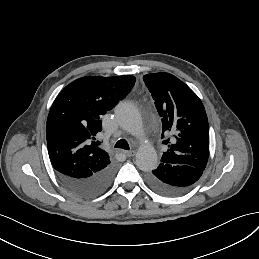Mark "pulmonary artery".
<instances>
[{
	"instance_id": "1",
	"label": "pulmonary artery",
	"mask_w": 259,
	"mask_h": 259,
	"mask_svg": "<svg viewBox=\"0 0 259 259\" xmlns=\"http://www.w3.org/2000/svg\"><path fill=\"white\" fill-rule=\"evenodd\" d=\"M121 125L126 131L134 135L140 136L143 134V125L139 119L127 118L123 120Z\"/></svg>"
}]
</instances>
